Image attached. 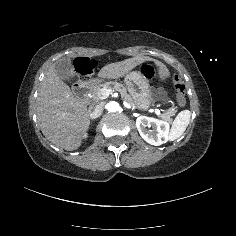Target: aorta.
<instances>
[{"label":"aorta","instance_id":"762f6f07","mask_svg":"<svg viewBox=\"0 0 236 236\" xmlns=\"http://www.w3.org/2000/svg\"><path fill=\"white\" fill-rule=\"evenodd\" d=\"M119 107H120L119 104L115 101H111L107 104V110L109 112H117Z\"/></svg>","mask_w":236,"mask_h":236}]
</instances>
